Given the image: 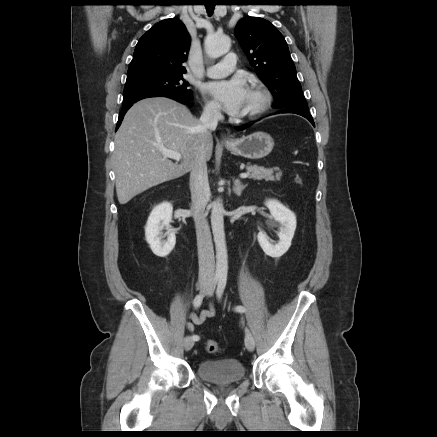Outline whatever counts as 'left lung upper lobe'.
<instances>
[{
  "label": "left lung upper lobe",
  "mask_w": 437,
  "mask_h": 437,
  "mask_svg": "<svg viewBox=\"0 0 437 437\" xmlns=\"http://www.w3.org/2000/svg\"><path fill=\"white\" fill-rule=\"evenodd\" d=\"M235 36L275 97L274 107L309 112L287 43L276 27L263 18L245 17L237 23Z\"/></svg>",
  "instance_id": "obj_1"
}]
</instances>
